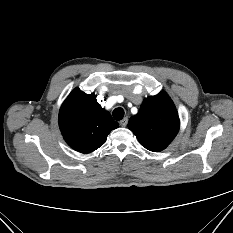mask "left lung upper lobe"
I'll return each mask as SVG.
<instances>
[{
	"label": "left lung upper lobe",
	"mask_w": 233,
	"mask_h": 233,
	"mask_svg": "<svg viewBox=\"0 0 233 233\" xmlns=\"http://www.w3.org/2000/svg\"><path fill=\"white\" fill-rule=\"evenodd\" d=\"M128 127L142 146L158 152L166 148L177 135L180 121L173 102L162 91L143 101L138 114L130 118Z\"/></svg>",
	"instance_id": "left-lung-upper-lobe-1"
}]
</instances>
